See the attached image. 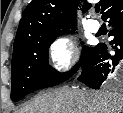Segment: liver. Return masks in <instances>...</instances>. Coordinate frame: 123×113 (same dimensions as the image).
<instances>
[{"label":"liver","mask_w":123,"mask_h":113,"mask_svg":"<svg viewBox=\"0 0 123 113\" xmlns=\"http://www.w3.org/2000/svg\"><path fill=\"white\" fill-rule=\"evenodd\" d=\"M122 111L121 93L61 87L36 96L18 113H122Z\"/></svg>","instance_id":"obj_1"}]
</instances>
